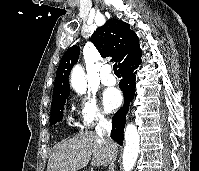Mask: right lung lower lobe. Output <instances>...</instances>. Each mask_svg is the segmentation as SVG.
Segmentation results:
<instances>
[{"label":"right lung lower lobe","instance_id":"right-lung-lower-lobe-1","mask_svg":"<svg viewBox=\"0 0 199 171\" xmlns=\"http://www.w3.org/2000/svg\"><path fill=\"white\" fill-rule=\"evenodd\" d=\"M141 63V57L135 61L125 64L120 67L119 71L122 80L119 83L120 89L124 94V106L121 107L112 119L111 138L120 145L123 144V132L126 121V114L129 108V103L134 98L135 85H136V72Z\"/></svg>","mask_w":199,"mask_h":171}]
</instances>
